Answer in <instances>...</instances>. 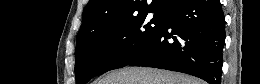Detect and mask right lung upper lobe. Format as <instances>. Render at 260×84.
Segmentation results:
<instances>
[{
    "label": "right lung upper lobe",
    "instance_id": "obj_1",
    "mask_svg": "<svg viewBox=\"0 0 260 84\" xmlns=\"http://www.w3.org/2000/svg\"><path fill=\"white\" fill-rule=\"evenodd\" d=\"M180 0H89L83 12V23L77 41L85 38L98 23L119 21L140 12H166Z\"/></svg>",
    "mask_w": 260,
    "mask_h": 84
}]
</instances>
